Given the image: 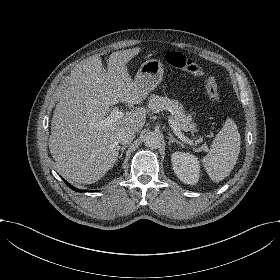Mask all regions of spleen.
Segmentation results:
<instances>
[{"label": "spleen", "mask_w": 280, "mask_h": 280, "mask_svg": "<svg viewBox=\"0 0 280 280\" xmlns=\"http://www.w3.org/2000/svg\"><path fill=\"white\" fill-rule=\"evenodd\" d=\"M240 147L237 125L229 118L216 134L211 152L203 160L212 180L220 182L230 174L238 160Z\"/></svg>", "instance_id": "obj_1"}]
</instances>
